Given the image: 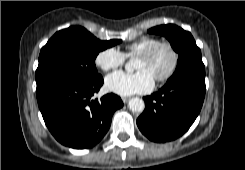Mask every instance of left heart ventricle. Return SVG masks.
<instances>
[{"label": "left heart ventricle", "instance_id": "1", "mask_svg": "<svg viewBox=\"0 0 245 170\" xmlns=\"http://www.w3.org/2000/svg\"><path fill=\"white\" fill-rule=\"evenodd\" d=\"M172 63V56L165 47L159 48L149 59L137 58L135 62L136 70H146L156 79L162 76L169 69Z\"/></svg>", "mask_w": 245, "mask_h": 170}]
</instances>
